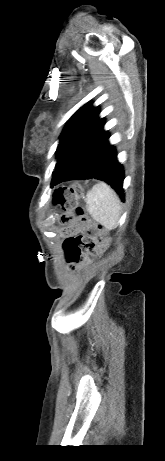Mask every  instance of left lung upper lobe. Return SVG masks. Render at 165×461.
I'll return each mask as SVG.
<instances>
[{"label":"left lung upper lobe","mask_w":165,"mask_h":461,"mask_svg":"<svg viewBox=\"0 0 165 461\" xmlns=\"http://www.w3.org/2000/svg\"><path fill=\"white\" fill-rule=\"evenodd\" d=\"M99 109L91 103L83 105L68 121L57 148V163L67 155L75 144L100 120Z\"/></svg>","instance_id":"1"}]
</instances>
